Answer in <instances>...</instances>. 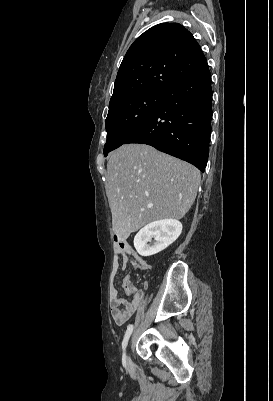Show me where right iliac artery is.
Wrapping results in <instances>:
<instances>
[{
	"label": "right iliac artery",
	"mask_w": 273,
	"mask_h": 401,
	"mask_svg": "<svg viewBox=\"0 0 273 401\" xmlns=\"http://www.w3.org/2000/svg\"><path fill=\"white\" fill-rule=\"evenodd\" d=\"M132 331H133V325L130 324V325H128V327H127V330H126V333H125V336H124V339H123V342H122V347H123V349L126 348L127 343H128V340H129V338H130V336H131V334H132ZM122 361H123V365L126 367V357H125V354L123 355Z\"/></svg>",
	"instance_id": "right-iliac-artery-1"
}]
</instances>
